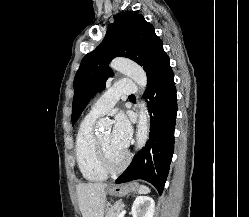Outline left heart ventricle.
Returning <instances> with one entry per match:
<instances>
[{
	"label": "left heart ventricle",
	"mask_w": 249,
	"mask_h": 217,
	"mask_svg": "<svg viewBox=\"0 0 249 217\" xmlns=\"http://www.w3.org/2000/svg\"><path fill=\"white\" fill-rule=\"evenodd\" d=\"M99 139L101 140L102 144L105 146L111 160L114 162L120 161V159L123 156L124 150L117 149L112 145L111 133L109 131L105 132L99 136Z\"/></svg>",
	"instance_id": "obj_1"
}]
</instances>
